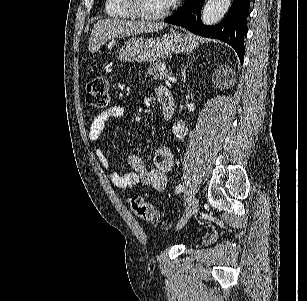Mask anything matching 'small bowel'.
Here are the masks:
<instances>
[{"label":"small bowel","instance_id":"c3829d8e","mask_svg":"<svg viewBox=\"0 0 307 301\" xmlns=\"http://www.w3.org/2000/svg\"><path fill=\"white\" fill-rule=\"evenodd\" d=\"M165 89H158V95ZM124 105H114L94 117L89 128V139L97 142L100 135L110 120L122 117L125 114ZM96 157L102 167L109 170L110 161L103 149H96ZM127 163L132 169L127 174L111 172L112 183L119 189H129L139 183L147 185L155 191H163L167 186V172L171 170L174 164L172 152L167 147H159L155 153V168L149 169L140 156L130 154L127 157Z\"/></svg>","mask_w":307,"mask_h":301}]
</instances>
